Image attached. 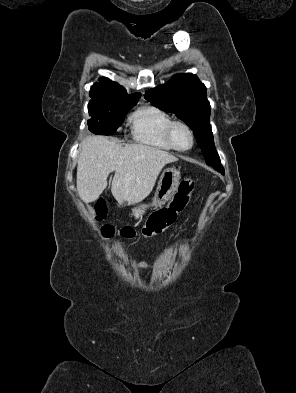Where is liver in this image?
<instances>
[{"instance_id":"6515ba94","label":"liver","mask_w":296,"mask_h":393,"mask_svg":"<svg viewBox=\"0 0 296 393\" xmlns=\"http://www.w3.org/2000/svg\"><path fill=\"white\" fill-rule=\"evenodd\" d=\"M178 158L143 144H117L103 136H88L80 145L77 191L85 202H94L115 171L111 192L119 204L133 205L152 191L162 168Z\"/></svg>"}]
</instances>
